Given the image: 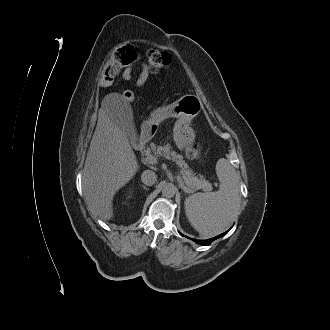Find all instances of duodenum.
<instances>
[{"label": "duodenum", "instance_id": "1", "mask_svg": "<svg viewBox=\"0 0 330 330\" xmlns=\"http://www.w3.org/2000/svg\"><path fill=\"white\" fill-rule=\"evenodd\" d=\"M149 134L147 132L142 133L139 136L133 138V143L137 148H142L146 141L149 139Z\"/></svg>", "mask_w": 330, "mask_h": 330}]
</instances>
